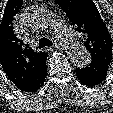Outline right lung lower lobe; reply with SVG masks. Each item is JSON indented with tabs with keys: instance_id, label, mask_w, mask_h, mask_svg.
<instances>
[{
	"instance_id": "98d812e1",
	"label": "right lung lower lobe",
	"mask_w": 113,
	"mask_h": 113,
	"mask_svg": "<svg viewBox=\"0 0 113 113\" xmlns=\"http://www.w3.org/2000/svg\"><path fill=\"white\" fill-rule=\"evenodd\" d=\"M46 76H47V67L45 64L43 70L40 72L37 79L33 83H31L27 88L23 89L22 91L28 92V93L37 91L38 89H40V87L43 86Z\"/></svg>"
}]
</instances>
